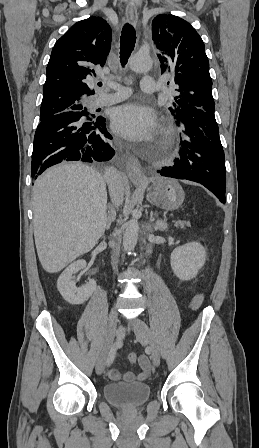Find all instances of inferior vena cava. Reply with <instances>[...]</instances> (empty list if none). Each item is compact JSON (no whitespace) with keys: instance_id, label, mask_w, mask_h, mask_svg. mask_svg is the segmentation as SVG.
I'll list each match as a JSON object with an SVG mask.
<instances>
[{"instance_id":"obj_1","label":"inferior vena cava","mask_w":259,"mask_h":448,"mask_svg":"<svg viewBox=\"0 0 259 448\" xmlns=\"http://www.w3.org/2000/svg\"><path fill=\"white\" fill-rule=\"evenodd\" d=\"M104 180H106L109 186V194L112 200V204L113 206H115V208H118V206H121L123 202L124 194V186L121 174L120 172H117L115 168H108V170H106L104 174ZM117 256H119V250H115L112 256V266L114 270H116Z\"/></svg>"}]
</instances>
